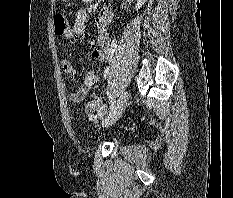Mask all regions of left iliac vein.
Returning a JSON list of instances; mask_svg holds the SVG:
<instances>
[{"mask_svg":"<svg viewBox=\"0 0 233 198\" xmlns=\"http://www.w3.org/2000/svg\"><path fill=\"white\" fill-rule=\"evenodd\" d=\"M128 97H129L128 91H124L120 95L114 111L103 121L102 123L103 127H108L114 124L121 117V115L123 114L126 108Z\"/></svg>","mask_w":233,"mask_h":198,"instance_id":"obj_1","label":"left iliac vein"}]
</instances>
